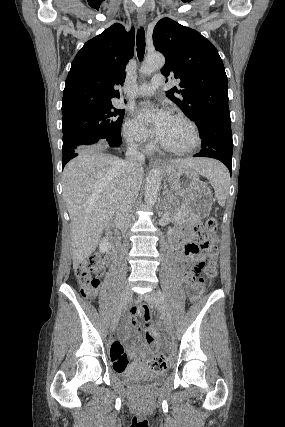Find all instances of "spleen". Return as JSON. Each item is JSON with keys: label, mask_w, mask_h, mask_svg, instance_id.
Here are the masks:
<instances>
[{"label": "spleen", "mask_w": 285, "mask_h": 427, "mask_svg": "<svg viewBox=\"0 0 285 427\" xmlns=\"http://www.w3.org/2000/svg\"><path fill=\"white\" fill-rule=\"evenodd\" d=\"M205 177L213 187L215 197L217 198L219 205L224 206L230 186V174L227 168L217 162L210 168Z\"/></svg>", "instance_id": "obj_1"}]
</instances>
